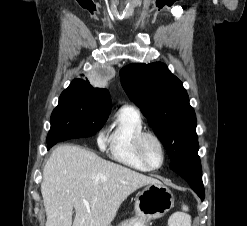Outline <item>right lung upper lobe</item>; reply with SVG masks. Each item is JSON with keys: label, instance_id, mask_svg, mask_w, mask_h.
<instances>
[{"label": "right lung upper lobe", "instance_id": "cb5924a9", "mask_svg": "<svg viewBox=\"0 0 247 226\" xmlns=\"http://www.w3.org/2000/svg\"><path fill=\"white\" fill-rule=\"evenodd\" d=\"M67 89L78 91L85 95L96 98L97 100L102 102L104 110L110 113L112 103L109 91L107 89L95 88L89 83L88 80L84 79H74Z\"/></svg>", "mask_w": 247, "mask_h": 226}]
</instances>
